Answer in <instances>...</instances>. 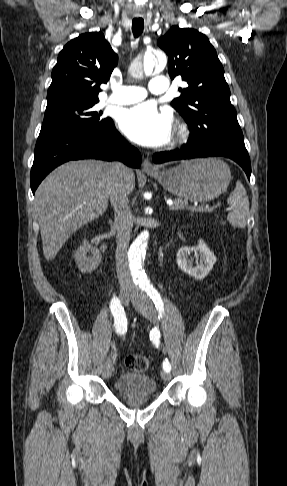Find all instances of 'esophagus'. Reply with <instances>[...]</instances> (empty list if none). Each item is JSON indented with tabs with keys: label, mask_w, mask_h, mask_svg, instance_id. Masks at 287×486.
<instances>
[{
	"label": "esophagus",
	"mask_w": 287,
	"mask_h": 486,
	"mask_svg": "<svg viewBox=\"0 0 287 486\" xmlns=\"http://www.w3.org/2000/svg\"><path fill=\"white\" fill-rule=\"evenodd\" d=\"M142 169L145 172H154V171H157V168L147 158L143 160Z\"/></svg>",
	"instance_id": "34e87169"
}]
</instances>
